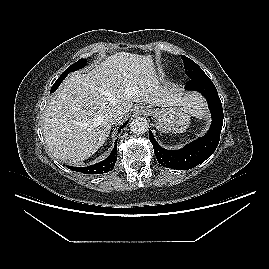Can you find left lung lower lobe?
Returning <instances> with one entry per match:
<instances>
[{
  "instance_id": "0a47b994",
  "label": "left lung lower lobe",
  "mask_w": 269,
  "mask_h": 269,
  "mask_svg": "<svg viewBox=\"0 0 269 269\" xmlns=\"http://www.w3.org/2000/svg\"><path fill=\"white\" fill-rule=\"evenodd\" d=\"M185 88L198 91L206 98L212 115V124L208 133L180 150H167L156 142L149 130V139L158 162L167 168L178 170L191 169L208 159L219 143L223 125L222 104L213 82L207 75L191 79Z\"/></svg>"
}]
</instances>
